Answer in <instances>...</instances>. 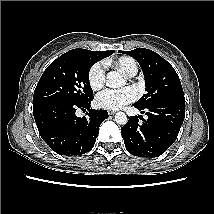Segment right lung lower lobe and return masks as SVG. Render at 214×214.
<instances>
[{
    "label": "right lung lower lobe",
    "mask_w": 214,
    "mask_h": 214,
    "mask_svg": "<svg viewBox=\"0 0 214 214\" xmlns=\"http://www.w3.org/2000/svg\"><path fill=\"white\" fill-rule=\"evenodd\" d=\"M92 99L52 100L33 106L39 134L53 151L72 156L87 153L93 148L100 124L108 117V112L90 109ZM78 109L88 110L87 117H77Z\"/></svg>",
    "instance_id": "1"
}]
</instances>
